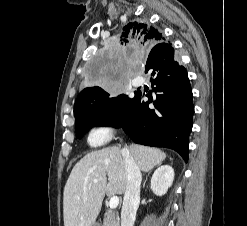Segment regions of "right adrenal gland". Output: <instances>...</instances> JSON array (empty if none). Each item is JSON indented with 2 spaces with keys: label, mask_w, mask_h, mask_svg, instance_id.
<instances>
[{
  "label": "right adrenal gland",
  "mask_w": 247,
  "mask_h": 226,
  "mask_svg": "<svg viewBox=\"0 0 247 226\" xmlns=\"http://www.w3.org/2000/svg\"><path fill=\"white\" fill-rule=\"evenodd\" d=\"M150 175V171L147 173V175H146V178H145V180H144V182H143V187H145V184H146V181H147V177Z\"/></svg>",
  "instance_id": "1"
}]
</instances>
